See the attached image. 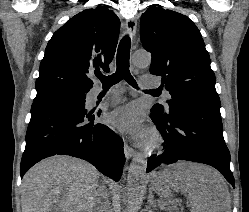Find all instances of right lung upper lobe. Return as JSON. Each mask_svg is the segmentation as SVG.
I'll list each match as a JSON object with an SVG mask.
<instances>
[{
    "mask_svg": "<svg viewBox=\"0 0 249 212\" xmlns=\"http://www.w3.org/2000/svg\"><path fill=\"white\" fill-rule=\"evenodd\" d=\"M120 20L106 7L84 10L58 29L48 42L36 80L37 95L59 91L88 92L94 69L109 71Z\"/></svg>",
    "mask_w": 249,
    "mask_h": 212,
    "instance_id": "cb5924a9",
    "label": "right lung upper lobe"
}]
</instances>
